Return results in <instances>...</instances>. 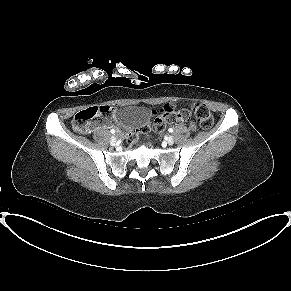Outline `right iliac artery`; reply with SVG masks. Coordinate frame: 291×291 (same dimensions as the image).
Returning <instances> with one entry per match:
<instances>
[{
  "label": "right iliac artery",
  "mask_w": 291,
  "mask_h": 291,
  "mask_svg": "<svg viewBox=\"0 0 291 291\" xmlns=\"http://www.w3.org/2000/svg\"><path fill=\"white\" fill-rule=\"evenodd\" d=\"M110 132H111L112 134H114V133H115V130H114V129H112Z\"/></svg>",
  "instance_id": "obj_1"
}]
</instances>
